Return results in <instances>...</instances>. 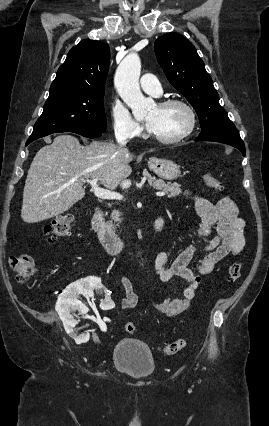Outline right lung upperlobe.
Segmentation results:
<instances>
[{
	"label": "right lung upper lobe",
	"instance_id": "cb5924a9",
	"mask_svg": "<svg viewBox=\"0 0 269 426\" xmlns=\"http://www.w3.org/2000/svg\"><path fill=\"white\" fill-rule=\"evenodd\" d=\"M110 61L107 43L82 40L59 67L50 93L68 91L104 95Z\"/></svg>",
	"mask_w": 269,
	"mask_h": 426
}]
</instances>
